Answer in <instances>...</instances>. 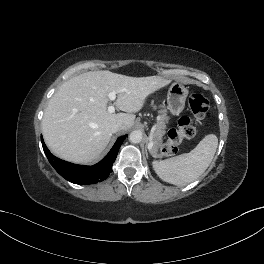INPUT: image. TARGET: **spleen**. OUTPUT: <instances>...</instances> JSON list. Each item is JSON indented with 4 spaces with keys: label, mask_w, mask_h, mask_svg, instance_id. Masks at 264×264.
<instances>
[{
    "label": "spleen",
    "mask_w": 264,
    "mask_h": 264,
    "mask_svg": "<svg viewBox=\"0 0 264 264\" xmlns=\"http://www.w3.org/2000/svg\"><path fill=\"white\" fill-rule=\"evenodd\" d=\"M218 146L215 134L206 135L189 153L153 161V169L165 182L185 186L199 178L209 167Z\"/></svg>",
    "instance_id": "spleen-1"
}]
</instances>
